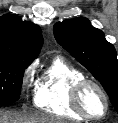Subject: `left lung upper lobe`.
Here are the masks:
<instances>
[{"instance_id":"5c2ea615","label":"left lung upper lobe","mask_w":118,"mask_h":123,"mask_svg":"<svg viewBox=\"0 0 118 123\" xmlns=\"http://www.w3.org/2000/svg\"><path fill=\"white\" fill-rule=\"evenodd\" d=\"M57 42L100 81L118 113V60L102 31L85 17L54 25Z\"/></svg>"}]
</instances>
